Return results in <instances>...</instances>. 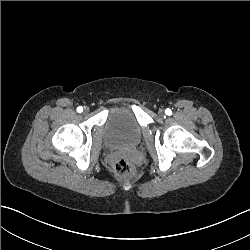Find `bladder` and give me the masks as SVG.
Segmentation results:
<instances>
[{
	"mask_svg": "<svg viewBox=\"0 0 250 250\" xmlns=\"http://www.w3.org/2000/svg\"><path fill=\"white\" fill-rule=\"evenodd\" d=\"M102 144L117 151L134 148L142 139L138 114L127 105H111L105 110Z\"/></svg>",
	"mask_w": 250,
	"mask_h": 250,
	"instance_id": "31cf9c89",
	"label": "bladder"
}]
</instances>
